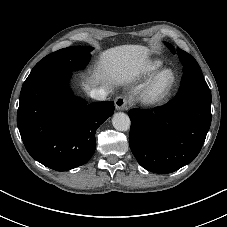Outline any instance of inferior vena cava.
<instances>
[{"mask_svg":"<svg viewBox=\"0 0 227 227\" xmlns=\"http://www.w3.org/2000/svg\"><path fill=\"white\" fill-rule=\"evenodd\" d=\"M108 93L109 92H107L104 88H96L91 90L90 97L98 101H104L106 100Z\"/></svg>","mask_w":227,"mask_h":227,"instance_id":"602c4592","label":"inferior vena cava"}]
</instances>
